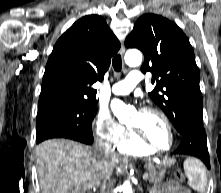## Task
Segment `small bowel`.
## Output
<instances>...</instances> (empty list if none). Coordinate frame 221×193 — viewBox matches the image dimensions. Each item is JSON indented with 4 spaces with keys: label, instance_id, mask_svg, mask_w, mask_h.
<instances>
[{
    "label": "small bowel",
    "instance_id": "small-bowel-1",
    "mask_svg": "<svg viewBox=\"0 0 221 193\" xmlns=\"http://www.w3.org/2000/svg\"><path fill=\"white\" fill-rule=\"evenodd\" d=\"M151 193H191L187 188L174 182L155 187Z\"/></svg>",
    "mask_w": 221,
    "mask_h": 193
}]
</instances>
